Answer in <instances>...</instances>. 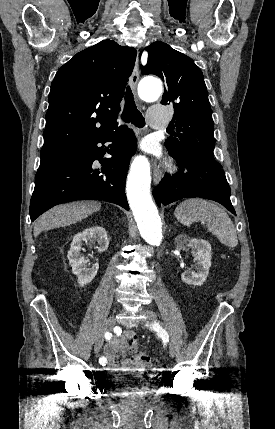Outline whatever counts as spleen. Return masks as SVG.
Here are the masks:
<instances>
[{"label":"spleen","instance_id":"3e777b00","mask_svg":"<svg viewBox=\"0 0 275 429\" xmlns=\"http://www.w3.org/2000/svg\"><path fill=\"white\" fill-rule=\"evenodd\" d=\"M175 217L183 225L200 221L219 241L229 247L238 244L235 226L228 214L218 205L200 198L187 199L175 209Z\"/></svg>","mask_w":275,"mask_h":429}]
</instances>
